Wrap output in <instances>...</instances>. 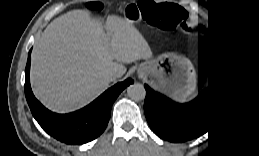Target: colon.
<instances>
[{
  "label": "colon",
  "instance_id": "obj_1",
  "mask_svg": "<svg viewBox=\"0 0 259 156\" xmlns=\"http://www.w3.org/2000/svg\"><path fill=\"white\" fill-rule=\"evenodd\" d=\"M91 9L93 10H101L102 9V5L100 3H94L91 5ZM148 19H153V16L150 15L148 16Z\"/></svg>",
  "mask_w": 259,
  "mask_h": 156
}]
</instances>
